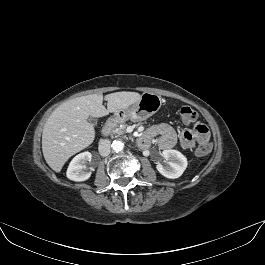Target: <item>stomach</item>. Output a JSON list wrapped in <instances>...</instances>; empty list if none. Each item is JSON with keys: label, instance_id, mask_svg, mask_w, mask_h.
<instances>
[{"label": "stomach", "instance_id": "1", "mask_svg": "<svg viewBox=\"0 0 265 265\" xmlns=\"http://www.w3.org/2000/svg\"><path fill=\"white\" fill-rule=\"evenodd\" d=\"M161 105L162 100L159 95L154 93H143L136 103L116 111L114 117L117 120H146L155 114L160 109Z\"/></svg>", "mask_w": 265, "mask_h": 265}]
</instances>
